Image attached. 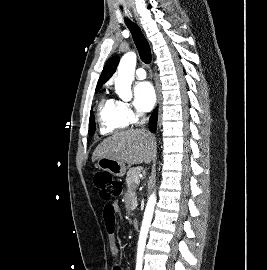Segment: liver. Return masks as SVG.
I'll return each instance as SVG.
<instances>
[{
  "label": "liver",
  "mask_w": 267,
  "mask_h": 270,
  "mask_svg": "<svg viewBox=\"0 0 267 270\" xmlns=\"http://www.w3.org/2000/svg\"><path fill=\"white\" fill-rule=\"evenodd\" d=\"M155 153L154 136L144 129H132L116 132L103 140L94 150L92 162L107 157L124 164H149Z\"/></svg>",
  "instance_id": "liver-1"
}]
</instances>
